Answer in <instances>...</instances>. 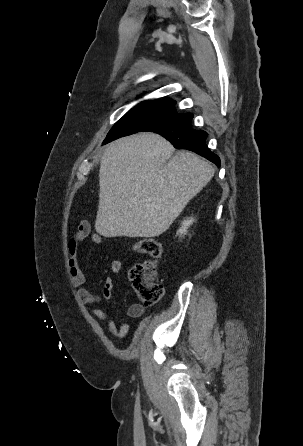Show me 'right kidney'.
<instances>
[{"label": "right kidney", "instance_id": "1", "mask_svg": "<svg viewBox=\"0 0 303 446\" xmlns=\"http://www.w3.org/2000/svg\"><path fill=\"white\" fill-rule=\"evenodd\" d=\"M194 219L192 217L185 219L182 222L181 228L177 231V235L184 236L187 234V230L190 227V225L193 223Z\"/></svg>", "mask_w": 303, "mask_h": 446}]
</instances>
